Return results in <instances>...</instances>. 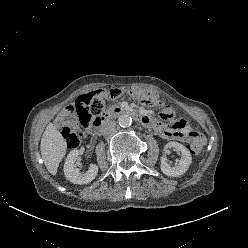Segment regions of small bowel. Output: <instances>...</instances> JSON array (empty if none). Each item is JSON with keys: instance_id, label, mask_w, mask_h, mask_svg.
Returning <instances> with one entry per match:
<instances>
[{"instance_id": "small-bowel-1", "label": "small bowel", "mask_w": 248, "mask_h": 248, "mask_svg": "<svg viewBox=\"0 0 248 248\" xmlns=\"http://www.w3.org/2000/svg\"><path fill=\"white\" fill-rule=\"evenodd\" d=\"M155 129L161 135V137L168 140H177L182 142H188L195 138L203 136L192 130L186 120H178L171 125H165L159 122H156Z\"/></svg>"}]
</instances>
